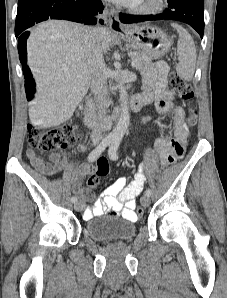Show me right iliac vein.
Segmentation results:
<instances>
[{
  "instance_id": "obj_1",
  "label": "right iliac vein",
  "mask_w": 227,
  "mask_h": 298,
  "mask_svg": "<svg viewBox=\"0 0 227 298\" xmlns=\"http://www.w3.org/2000/svg\"><path fill=\"white\" fill-rule=\"evenodd\" d=\"M83 208H84V204L81 202V201H76V202H74V209L76 210V211H82L83 210Z\"/></svg>"
}]
</instances>
